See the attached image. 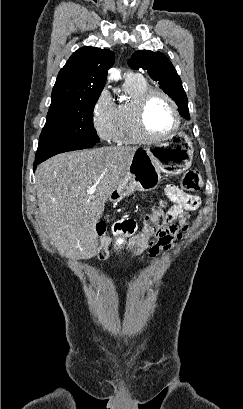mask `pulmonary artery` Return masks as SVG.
I'll use <instances>...</instances> for the list:
<instances>
[{"label":"pulmonary artery","instance_id":"obj_1","mask_svg":"<svg viewBox=\"0 0 243 409\" xmlns=\"http://www.w3.org/2000/svg\"><path fill=\"white\" fill-rule=\"evenodd\" d=\"M126 79H128V80H140V79H142V77L139 74L128 73L126 75Z\"/></svg>","mask_w":243,"mask_h":409}]
</instances>
